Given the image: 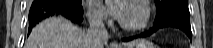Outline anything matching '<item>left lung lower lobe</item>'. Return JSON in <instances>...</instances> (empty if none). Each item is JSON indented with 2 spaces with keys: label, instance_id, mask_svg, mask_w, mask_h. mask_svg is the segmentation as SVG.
<instances>
[{
  "label": "left lung lower lobe",
  "instance_id": "0a47b994",
  "mask_svg": "<svg viewBox=\"0 0 213 48\" xmlns=\"http://www.w3.org/2000/svg\"><path fill=\"white\" fill-rule=\"evenodd\" d=\"M165 27L179 28L188 35L190 40L192 39L189 14L178 12V11H167L160 16H156V19L154 21V26L149 31H146L140 34L139 36L124 38L123 41H129L138 37H147L151 35L152 33H154L155 31Z\"/></svg>",
  "mask_w": 213,
  "mask_h": 48
}]
</instances>
